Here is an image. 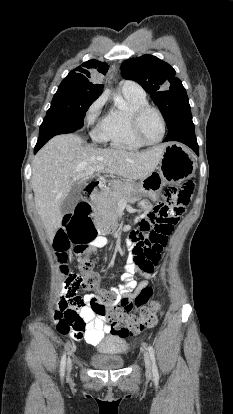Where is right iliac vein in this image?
<instances>
[{"label": "right iliac vein", "mask_w": 233, "mask_h": 414, "mask_svg": "<svg viewBox=\"0 0 233 414\" xmlns=\"http://www.w3.org/2000/svg\"><path fill=\"white\" fill-rule=\"evenodd\" d=\"M71 369H72V361H71V359H69L68 363H67V372H68V374L71 372Z\"/></svg>", "instance_id": "right-iliac-vein-1"}]
</instances>
